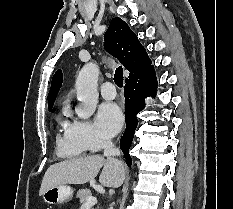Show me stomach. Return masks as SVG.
<instances>
[{
  "label": "stomach",
  "mask_w": 233,
  "mask_h": 209,
  "mask_svg": "<svg viewBox=\"0 0 233 209\" xmlns=\"http://www.w3.org/2000/svg\"><path fill=\"white\" fill-rule=\"evenodd\" d=\"M73 193L70 186L62 184L46 190L42 198L47 204L58 205L69 202L73 198Z\"/></svg>",
  "instance_id": "0dacf381"
}]
</instances>
